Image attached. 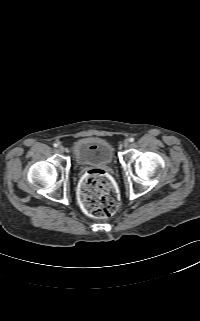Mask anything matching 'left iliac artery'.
Masks as SVG:
<instances>
[{
	"label": "left iliac artery",
	"instance_id": "1",
	"mask_svg": "<svg viewBox=\"0 0 200 321\" xmlns=\"http://www.w3.org/2000/svg\"><path fill=\"white\" fill-rule=\"evenodd\" d=\"M129 141H130V142H133V141H134V138L131 137V138L129 139Z\"/></svg>",
	"mask_w": 200,
	"mask_h": 321
}]
</instances>
